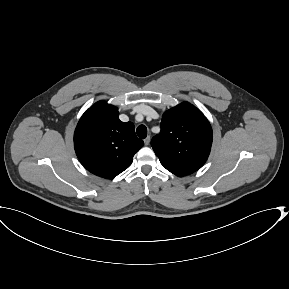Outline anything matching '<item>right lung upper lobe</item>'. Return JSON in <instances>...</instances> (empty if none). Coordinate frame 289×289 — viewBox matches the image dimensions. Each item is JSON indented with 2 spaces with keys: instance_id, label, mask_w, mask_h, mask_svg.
<instances>
[{
  "instance_id": "1",
  "label": "right lung upper lobe",
  "mask_w": 289,
  "mask_h": 289,
  "mask_svg": "<svg viewBox=\"0 0 289 289\" xmlns=\"http://www.w3.org/2000/svg\"><path fill=\"white\" fill-rule=\"evenodd\" d=\"M143 145L133 123L121 122L118 109L104 101L82 115L74 133L75 152L82 165L106 179L126 170Z\"/></svg>"
}]
</instances>
